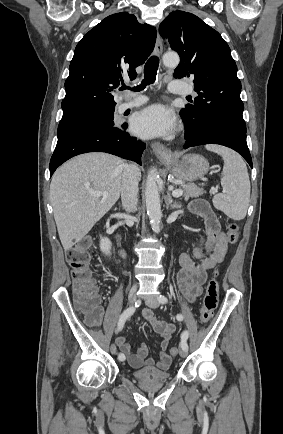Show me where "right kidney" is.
<instances>
[{"instance_id": "ca27d5eb", "label": "right kidney", "mask_w": 283, "mask_h": 434, "mask_svg": "<svg viewBox=\"0 0 283 434\" xmlns=\"http://www.w3.org/2000/svg\"><path fill=\"white\" fill-rule=\"evenodd\" d=\"M111 241L108 238H103L100 242V249L105 255L111 254Z\"/></svg>"}]
</instances>
